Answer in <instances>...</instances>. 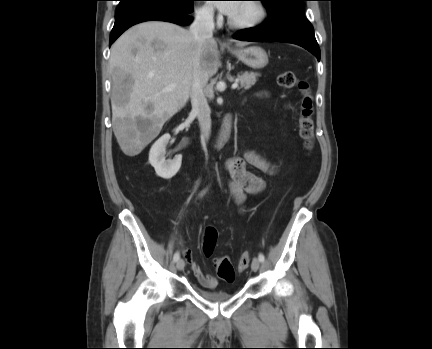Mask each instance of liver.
I'll use <instances>...</instances> for the list:
<instances>
[{
    "label": "liver",
    "mask_w": 432,
    "mask_h": 349,
    "mask_svg": "<svg viewBox=\"0 0 432 349\" xmlns=\"http://www.w3.org/2000/svg\"><path fill=\"white\" fill-rule=\"evenodd\" d=\"M196 62L207 82L220 65L217 42L199 45L189 30L172 23H141L115 41L109 59L112 125L125 155H138L186 105Z\"/></svg>",
    "instance_id": "liver-1"
}]
</instances>
